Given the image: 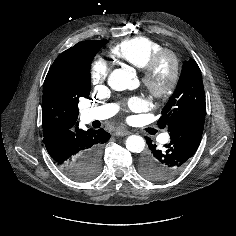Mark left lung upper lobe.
<instances>
[{
    "instance_id": "obj_1",
    "label": "left lung upper lobe",
    "mask_w": 236,
    "mask_h": 236,
    "mask_svg": "<svg viewBox=\"0 0 236 236\" xmlns=\"http://www.w3.org/2000/svg\"><path fill=\"white\" fill-rule=\"evenodd\" d=\"M206 105L202 75L195 60L185 61L177 88L162 110L160 128L168 131L193 118L205 117Z\"/></svg>"
}]
</instances>
